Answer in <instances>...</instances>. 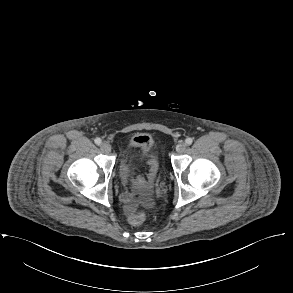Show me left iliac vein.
I'll use <instances>...</instances> for the list:
<instances>
[{
    "instance_id": "obj_1",
    "label": "left iliac vein",
    "mask_w": 293,
    "mask_h": 293,
    "mask_svg": "<svg viewBox=\"0 0 293 293\" xmlns=\"http://www.w3.org/2000/svg\"><path fill=\"white\" fill-rule=\"evenodd\" d=\"M186 147L187 145L185 142H179L175 149L177 153H183L186 150Z\"/></svg>"
}]
</instances>
